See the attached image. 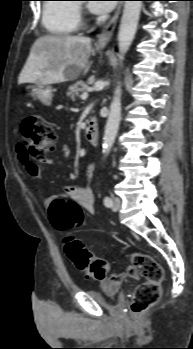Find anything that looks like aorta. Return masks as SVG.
Listing matches in <instances>:
<instances>
[{"mask_svg":"<svg viewBox=\"0 0 193 349\" xmlns=\"http://www.w3.org/2000/svg\"><path fill=\"white\" fill-rule=\"evenodd\" d=\"M142 1H125L118 32V56L122 60L129 50L135 37ZM121 86L114 91L113 100L105 126L103 137V152L108 154L115 142L121 120Z\"/></svg>","mask_w":193,"mask_h":349,"instance_id":"obj_1","label":"aorta"}]
</instances>
